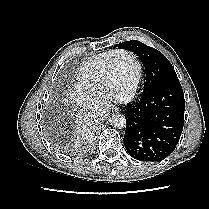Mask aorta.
<instances>
[{"label": "aorta", "instance_id": "obj_1", "mask_svg": "<svg viewBox=\"0 0 209 209\" xmlns=\"http://www.w3.org/2000/svg\"><path fill=\"white\" fill-rule=\"evenodd\" d=\"M110 125L114 128L121 129L126 125V119L121 114H115L110 118Z\"/></svg>", "mask_w": 209, "mask_h": 209}]
</instances>
